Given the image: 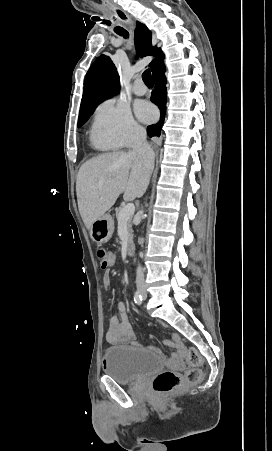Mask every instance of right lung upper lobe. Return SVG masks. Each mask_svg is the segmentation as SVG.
<instances>
[{"label":"right lung upper lobe","mask_w":272,"mask_h":451,"mask_svg":"<svg viewBox=\"0 0 272 451\" xmlns=\"http://www.w3.org/2000/svg\"><path fill=\"white\" fill-rule=\"evenodd\" d=\"M134 41L137 53L141 57L155 56L149 64L153 72L158 64L163 62L164 55L159 48L152 46L151 31L145 25L137 22ZM119 91V77L115 65L108 56L100 55L86 74L80 110L95 108L102 101L118 94Z\"/></svg>","instance_id":"right-lung-upper-lobe-1"}]
</instances>
